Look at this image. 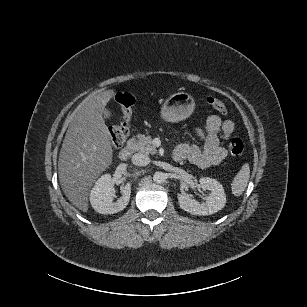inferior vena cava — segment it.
Segmentation results:
<instances>
[{"instance_id":"inferior-vena-cava-1","label":"inferior vena cava","mask_w":307,"mask_h":307,"mask_svg":"<svg viewBox=\"0 0 307 307\" xmlns=\"http://www.w3.org/2000/svg\"><path fill=\"white\" fill-rule=\"evenodd\" d=\"M150 162V159L147 155L143 153H136L132 156V163L137 166H144Z\"/></svg>"}]
</instances>
